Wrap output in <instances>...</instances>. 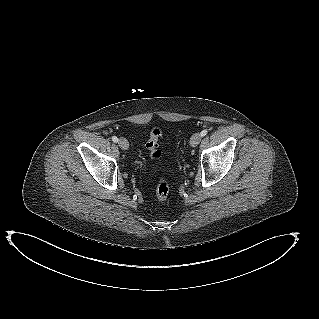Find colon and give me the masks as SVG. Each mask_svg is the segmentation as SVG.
Instances as JSON below:
<instances>
[{
  "mask_svg": "<svg viewBox=\"0 0 319 319\" xmlns=\"http://www.w3.org/2000/svg\"><path fill=\"white\" fill-rule=\"evenodd\" d=\"M162 136V131L159 128H153L150 131L148 141L146 142V148L150 153L152 160H159L162 157V151L159 147V140ZM170 191V184L166 177L161 176L155 187L156 197L163 201L166 200Z\"/></svg>",
  "mask_w": 319,
  "mask_h": 319,
  "instance_id": "1",
  "label": "colon"
}]
</instances>
